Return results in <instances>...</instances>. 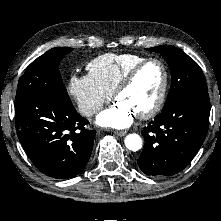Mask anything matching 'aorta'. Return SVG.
Wrapping results in <instances>:
<instances>
[{"mask_svg":"<svg viewBox=\"0 0 221 221\" xmlns=\"http://www.w3.org/2000/svg\"><path fill=\"white\" fill-rule=\"evenodd\" d=\"M124 142L126 148L131 151H138L142 147V139L136 133L128 134L125 137Z\"/></svg>","mask_w":221,"mask_h":221,"instance_id":"aorta-1","label":"aorta"}]
</instances>
